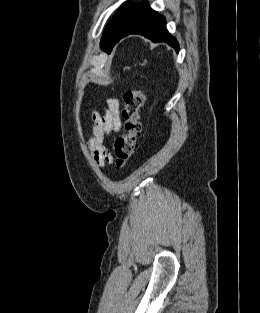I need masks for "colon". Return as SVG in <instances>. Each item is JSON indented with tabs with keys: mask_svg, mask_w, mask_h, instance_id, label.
Masks as SVG:
<instances>
[{
	"mask_svg": "<svg viewBox=\"0 0 260 313\" xmlns=\"http://www.w3.org/2000/svg\"><path fill=\"white\" fill-rule=\"evenodd\" d=\"M144 102L145 96L140 89H131L124 94V133L114 143V163L117 167H123L135 152L141 133L140 110Z\"/></svg>",
	"mask_w": 260,
	"mask_h": 313,
	"instance_id": "1",
	"label": "colon"
}]
</instances>
